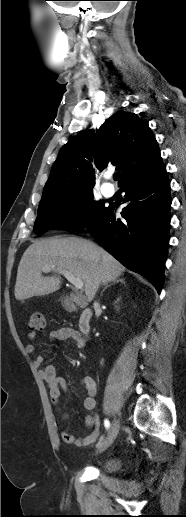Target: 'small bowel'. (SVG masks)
Wrapping results in <instances>:
<instances>
[{
	"label": "small bowel",
	"instance_id": "obj_1",
	"mask_svg": "<svg viewBox=\"0 0 186 517\" xmlns=\"http://www.w3.org/2000/svg\"><path fill=\"white\" fill-rule=\"evenodd\" d=\"M27 338L30 341L35 339V334L29 332L27 334ZM50 341H64L70 340L75 347L82 349L85 345L84 340L81 334L74 328L71 327H61L55 330H52L49 333ZM26 352L28 354H34L35 348L32 344H28L26 346ZM44 359L41 356H37L34 358V364L36 367H41L43 365ZM40 376L46 382L49 395L53 404L58 405L60 401L61 392H68V385L66 381L59 377L56 372V368L53 365H47L40 369ZM81 384L86 390V396L83 400V407L89 412L85 416V425L88 428L89 432L84 438H76L72 433L68 430H63L61 432V438L65 443L73 444L76 447H84L94 443L100 433V421L98 416L93 412L96 407V394L97 387L95 380L87 375L84 376L81 380ZM63 418H66L67 415L62 413Z\"/></svg>",
	"mask_w": 186,
	"mask_h": 517
}]
</instances>
